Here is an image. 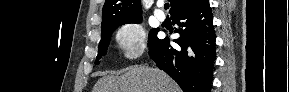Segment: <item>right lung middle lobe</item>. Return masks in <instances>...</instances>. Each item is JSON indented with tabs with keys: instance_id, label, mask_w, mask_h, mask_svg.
<instances>
[{
	"instance_id": "dd1d6c3e",
	"label": "right lung middle lobe",
	"mask_w": 289,
	"mask_h": 92,
	"mask_svg": "<svg viewBox=\"0 0 289 92\" xmlns=\"http://www.w3.org/2000/svg\"><path fill=\"white\" fill-rule=\"evenodd\" d=\"M141 22V19H138V20H133V21H128V22H122V23H116V24H113V25H110L108 27H106L105 29L101 30L102 32V39L99 43V48H98V55H97V58H96V61L95 63L96 64H99V59L106 54L107 52V48H108V45H109V42H110V36H111V33L113 32V30L115 28H117L118 26L120 25H124L126 23H140ZM157 32H158V29H152L149 33V38H148V46L151 45L152 41L157 37Z\"/></svg>"
}]
</instances>
